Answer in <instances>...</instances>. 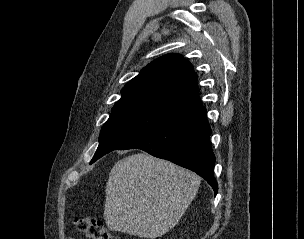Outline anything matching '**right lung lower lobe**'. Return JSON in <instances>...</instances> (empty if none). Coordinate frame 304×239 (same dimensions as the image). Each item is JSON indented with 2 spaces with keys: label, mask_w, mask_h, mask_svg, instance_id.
<instances>
[{
  "label": "right lung lower lobe",
  "mask_w": 304,
  "mask_h": 239,
  "mask_svg": "<svg viewBox=\"0 0 304 239\" xmlns=\"http://www.w3.org/2000/svg\"><path fill=\"white\" fill-rule=\"evenodd\" d=\"M210 134L206 109L200 107L168 120L117 149H142L190 169L203 177L216 195L218 185L214 178L215 156L209 141Z\"/></svg>",
  "instance_id": "right-lung-lower-lobe-1"
}]
</instances>
